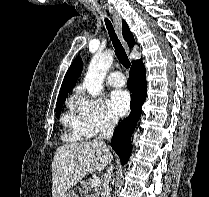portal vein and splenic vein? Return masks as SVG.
Segmentation results:
<instances>
[{"label":"portal vein and splenic vein","instance_id":"1","mask_svg":"<svg viewBox=\"0 0 209 197\" xmlns=\"http://www.w3.org/2000/svg\"><path fill=\"white\" fill-rule=\"evenodd\" d=\"M100 183H101L100 178H93L90 182L92 187H96V186L100 185Z\"/></svg>","mask_w":209,"mask_h":197}]
</instances>
